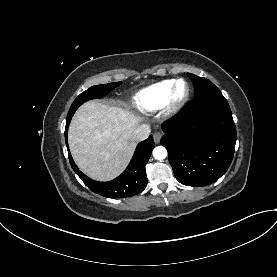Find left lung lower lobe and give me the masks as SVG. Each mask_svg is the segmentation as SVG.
<instances>
[{
	"label": "left lung lower lobe",
	"mask_w": 277,
	"mask_h": 277,
	"mask_svg": "<svg viewBox=\"0 0 277 277\" xmlns=\"http://www.w3.org/2000/svg\"><path fill=\"white\" fill-rule=\"evenodd\" d=\"M160 143L176 179L187 186H206L229 168L236 143V128L222 93L197 98L162 124Z\"/></svg>",
	"instance_id": "1"
}]
</instances>
